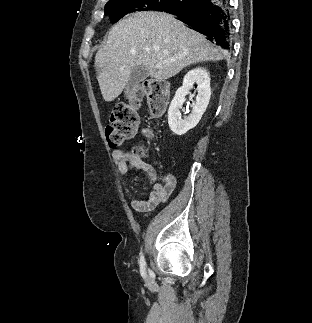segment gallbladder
Here are the masks:
<instances>
[{
  "label": "gallbladder",
  "instance_id": "bac80fb5",
  "mask_svg": "<svg viewBox=\"0 0 312 323\" xmlns=\"http://www.w3.org/2000/svg\"><path fill=\"white\" fill-rule=\"evenodd\" d=\"M148 76L149 72L146 70L145 66H136V68H133L125 88L126 98H130L132 94H135L140 86V82H143Z\"/></svg>",
  "mask_w": 312,
  "mask_h": 323
}]
</instances>
